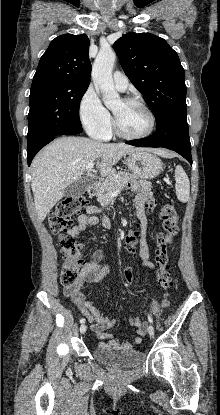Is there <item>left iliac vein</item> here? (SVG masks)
Segmentation results:
<instances>
[{"instance_id": "obj_1", "label": "left iliac vein", "mask_w": 220, "mask_h": 415, "mask_svg": "<svg viewBox=\"0 0 220 415\" xmlns=\"http://www.w3.org/2000/svg\"><path fill=\"white\" fill-rule=\"evenodd\" d=\"M148 333H149L150 336H153L154 335V327L152 325H150L148 327Z\"/></svg>"}]
</instances>
